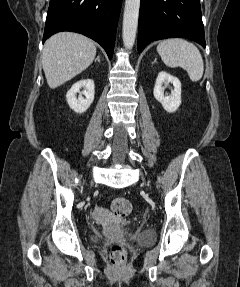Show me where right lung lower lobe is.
Segmentation results:
<instances>
[{
    "label": "right lung lower lobe",
    "instance_id": "1",
    "mask_svg": "<svg viewBox=\"0 0 240 287\" xmlns=\"http://www.w3.org/2000/svg\"><path fill=\"white\" fill-rule=\"evenodd\" d=\"M122 0H50L43 42L60 31L81 33L113 56Z\"/></svg>",
    "mask_w": 240,
    "mask_h": 287
}]
</instances>
